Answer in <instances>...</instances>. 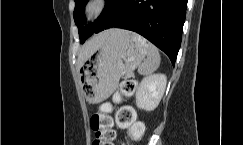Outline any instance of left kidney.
Segmentation results:
<instances>
[{
	"mask_svg": "<svg viewBox=\"0 0 243 145\" xmlns=\"http://www.w3.org/2000/svg\"><path fill=\"white\" fill-rule=\"evenodd\" d=\"M167 84L164 74H154L142 79L136 91V105L146 111L154 110L161 101Z\"/></svg>",
	"mask_w": 243,
	"mask_h": 145,
	"instance_id": "obj_1",
	"label": "left kidney"
}]
</instances>
